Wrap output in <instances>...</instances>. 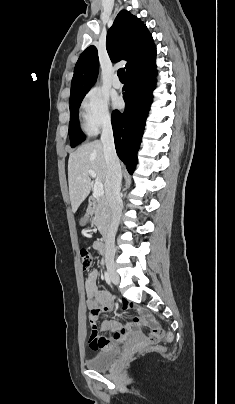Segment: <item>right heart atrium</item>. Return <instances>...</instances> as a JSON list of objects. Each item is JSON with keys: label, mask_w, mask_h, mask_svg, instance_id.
Returning <instances> with one entry per match:
<instances>
[{"label": "right heart atrium", "mask_w": 235, "mask_h": 404, "mask_svg": "<svg viewBox=\"0 0 235 404\" xmlns=\"http://www.w3.org/2000/svg\"><path fill=\"white\" fill-rule=\"evenodd\" d=\"M85 128L91 134L111 125L112 116L108 98L97 89L89 90L80 105Z\"/></svg>", "instance_id": "d8ad5b80"}]
</instances>
